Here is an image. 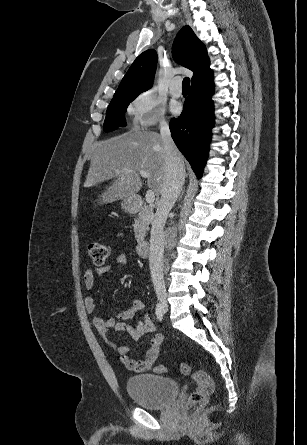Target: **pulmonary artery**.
Masks as SVG:
<instances>
[{
  "mask_svg": "<svg viewBox=\"0 0 307 445\" xmlns=\"http://www.w3.org/2000/svg\"><path fill=\"white\" fill-rule=\"evenodd\" d=\"M174 80L175 81L170 82L169 87L171 89L172 95L179 97L182 93L181 90L183 89L184 84L182 81H180L181 80L180 76H175Z\"/></svg>",
  "mask_w": 307,
  "mask_h": 445,
  "instance_id": "pulmonary-artery-1",
  "label": "pulmonary artery"
}]
</instances>
